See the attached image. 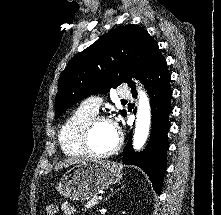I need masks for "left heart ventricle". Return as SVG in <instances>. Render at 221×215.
Masks as SVG:
<instances>
[{"label":"left heart ventricle","mask_w":221,"mask_h":215,"mask_svg":"<svg viewBox=\"0 0 221 215\" xmlns=\"http://www.w3.org/2000/svg\"><path fill=\"white\" fill-rule=\"evenodd\" d=\"M118 132L109 122H99L91 134V145L98 152L110 150L117 142Z\"/></svg>","instance_id":"obj_1"}]
</instances>
